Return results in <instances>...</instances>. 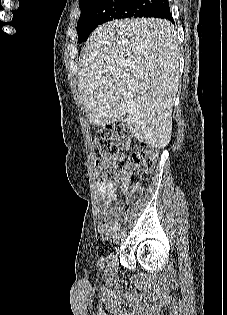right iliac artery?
<instances>
[{
  "mask_svg": "<svg viewBox=\"0 0 227 315\" xmlns=\"http://www.w3.org/2000/svg\"><path fill=\"white\" fill-rule=\"evenodd\" d=\"M119 227H120V224L118 222L115 223V225L113 227L114 232H117L119 230Z\"/></svg>",
  "mask_w": 227,
  "mask_h": 315,
  "instance_id": "obj_1",
  "label": "right iliac artery"
}]
</instances>
